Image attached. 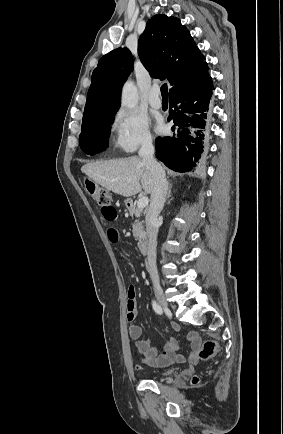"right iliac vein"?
Masks as SVG:
<instances>
[{
  "label": "right iliac vein",
  "mask_w": 283,
  "mask_h": 434,
  "mask_svg": "<svg viewBox=\"0 0 283 434\" xmlns=\"http://www.w3.org/2000/svg\"><path fill=\"white\" fill-rule=\"evenodd\" d=\"M154 291L155 295L157 297L158 302L164 309H168V302L165 298V295L163 293V290L158 282L154 283Z\"/></svg>",
  "instance_id": "obj_1"
}]
</instances>
